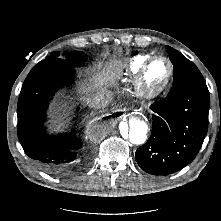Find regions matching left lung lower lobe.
Returning a JSON list of instances; mask_svg holds the SVG:
<instances>
[{"mask_svg": "<svg viewBox=\"0 0 221 221\" xmlns=\"http://www.w3.org/2000/svg\"><path fill=\"white\" fill-rule=\"evenodd\" d=\"M152 132L135 158L145 172L168 175L181 170L198 154L208 128L209 91L206 85L182 90L150 106Z\"/></svg>", "mask_w": 221, "mask_h": 221, "instance_id": "left-lung-lower-lobe-1", "label": "left lung lower lobe"}]
</instances>
